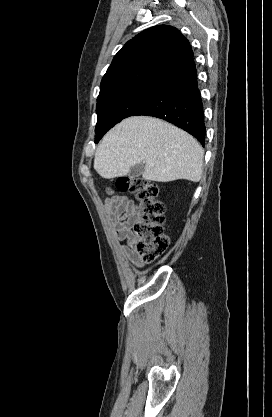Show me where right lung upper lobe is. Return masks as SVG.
<instances>
[{"mask_svg": "<svg viewBox=\"0 0 272 417\" xmlns=\"http://www.w3.org/2000/svg\"><path fill=\"white\" fill-rule=\"evenodd\" d=\"M193 62L189 41L176 28L154 26L129 40L116 54L100 87L97 100L139 86H161Z\"/></svg>", "mask_w": 272, "mask_h": 417, "instance_id": "cb5924a9", "label": "right lung upper lobe"}]
</instances>
